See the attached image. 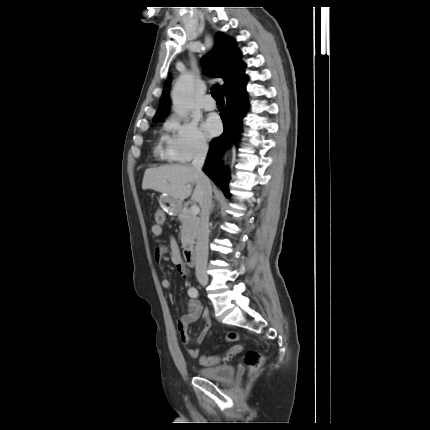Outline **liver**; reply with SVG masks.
Instances as JSON below:
<instances>
[{"label": "liver", "mask_w": 430, "mask_h": 430, "mask_svg": "<svg viewBox=\"0 0 430 430\" xmlns=\"http://www.w3.org/2000/svg\"><path fill=\"white\" fill-rule=\"evenodd\" d=\"M193 184L196 187L191 199L200 204L203 196V186L196 170L190 165L172 164L146 169L142 189H152L165 193L173 199L184 200L191 195V185Z\"/></svg>", "instance_id": "1"}]
</instances>
